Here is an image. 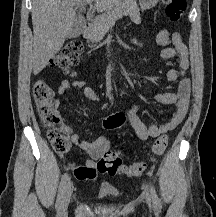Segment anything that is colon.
Returning a JSON list of instances; mask_svg holds the SVG:
<instances>
[{"label":"colon","mask_w":216,"mask_h":217,"mask_svg":"<svg viewBox=\"0 0 216 217\" xmlns=\"http://www.w3.org/2000/svg\"><path fill=\"white\" fill-rule=\"evenodd\" d=\"M165 4L166 16L172 21H178L186 9V0H162ZM83 51V46L78 41L67 43L52 59V67L62 70H69L78 64ZM33 99L37 106L38 115L43 125L48 129V139L54 151L58 154H65L70 148V142L64 133L62 119L54 108V92L51 87L42 80L35 82L33 86ZM126 123V116L122 112L111 114L104 121L107 129H116ZM168 145L166 135L159 136L153 146L152 152L155 157L161 156ZM97 170L101 173L114 175L122 173L129 177L141 176L145 170L144 163L123 165L119 152L115 149H108L103 153L97 164ZM76 172V171H75Z\"/></svg>","instance_id":"colon-1"}]
</instances>
